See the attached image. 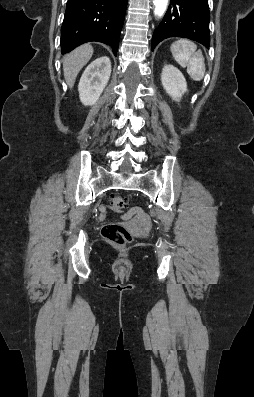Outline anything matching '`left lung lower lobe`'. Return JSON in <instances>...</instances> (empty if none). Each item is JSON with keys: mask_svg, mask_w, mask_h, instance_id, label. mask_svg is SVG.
<instances>
[{"mask_svg": "<svg viewBox=\"0 0 254 397\" xmlns=\"http://www.w3.org/2000/svg\"><path fill=\"white\" fill-rule=\"evenodd\" d=\"M208 0H170V6L152 37V50L168 37H184L210 46Z\"/></svg>", "mask_w": 254, "mask_h": 397, "instance_id": "obj_1", "label": "left lung lower lobe"}]
</instances>
